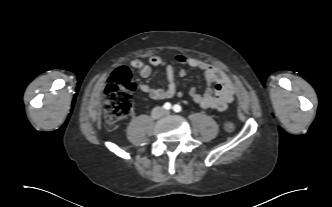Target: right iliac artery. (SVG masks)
<instances>
[{
  "mask_svg": "<svg viewBox=\"0 0 332 207\" xmlns=\"http://www.w3.org/2000/svg\"><path fill=\"white\" fill-rule=\"evenodd\" d=\"M164 109H166V110H170L171 109V104L169 103V102H167V103H165L164 104Z\"/></svg>",
  "mask_w": 332,
  "mask_h": 207,
  "instance_id": "82829eb1",
  "label": "right iliac artery"
}]
</instances>
